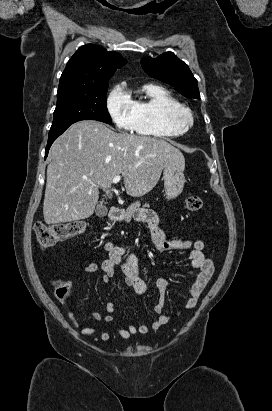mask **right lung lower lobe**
<instances>
[{"mask_svg": "<svg viewBox=\"0 0 272 411\" xmlns=\"http://www.w3.org/2000/svg\"><path fill=\"white\" fill-rule=\"evenodd\" d=\"M56 138H57V137H56ZM56 138L48 139V143H47V146H46V149H45V158H46L47 155H48L50 146L52 145V143L54 142V140H55Z\"/></svg>", "mask_w": 272, "mask_h": 411, "instance_id": "right-lung-lower-lobe-1", "label": "right lung lower lobe"}]
</instances>
